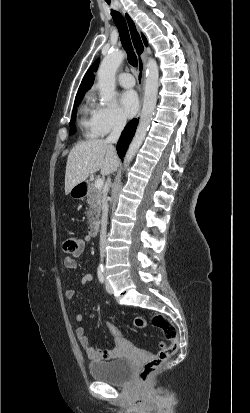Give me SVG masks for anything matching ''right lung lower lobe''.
Returning a JSON list of instances; mask_svg holds the SVG:
<instances>
[{
	"mask_svg": "<svg viewBox=\"0 0 250 413\" xmlns=\"http://www.w3.org/2000/svg\"><path fill=\"white\" fill-rule=\"evenodd\" d=\"M138 122H139V120H137V119H132V120L126 125V127L124 128V130H123V132H122V134H121V136H120V139H119V141H118V143H117V152H118V155H119L120 158H123V157H124V155H125V153H126V151H127L128 145H129V143L131 142L132 137H133L134 134H135V131H136V127H137V125H138Z\"/></svg>",
	"mask_w": 250,
	"mask_h": 413,
	"instance_id": "1",
	"label": "right lung lower lobe"
}]
</instances>
